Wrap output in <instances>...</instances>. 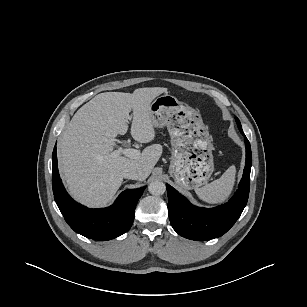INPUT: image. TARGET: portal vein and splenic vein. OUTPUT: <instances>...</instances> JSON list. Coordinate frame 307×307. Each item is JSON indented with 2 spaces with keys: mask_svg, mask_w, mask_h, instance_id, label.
<instances>
[{
  "mask_svg": "<svg viewBox=\"0 0 307 307\" xmlns=\"http://www.w3.org/2000/svg\"><path fill=\"white\" fill-rule=\"evenodd\" d=\"M122 153L123 155L127 156L130 159H138L141 155L139 150L133 149V148H118V150H115L113 152L114 155Z\"/></svg>",
  "mask_w": 307,
  "mask_h": 307,
  "instance_id": "obj_1",
  "label": "portal vein and splenic vein"
}]
</instances>
